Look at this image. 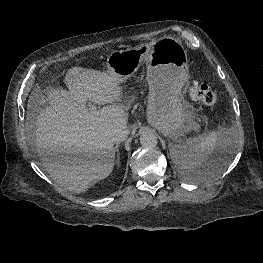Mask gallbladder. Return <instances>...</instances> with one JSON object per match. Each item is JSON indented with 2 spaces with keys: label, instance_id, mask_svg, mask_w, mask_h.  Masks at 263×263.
Returning <instances> with one entry per match:
<instances>
[{
  "label": "gallbladder",
  "instance_id": "gallbladder-1",
  "mask_svg": "<svg viewBox=\"0 0 263 263\" xmlns=\"http://www.w3.org/2000/svg\"><path fill=\"white\" fill-rule=\"evenodd\" d=\"M48 104H49V102H48V101H46L44 105H45V106H47Z\"/></svg>",
  "mask_w": 263,
  "mask_h": 263
}]
</instances>
